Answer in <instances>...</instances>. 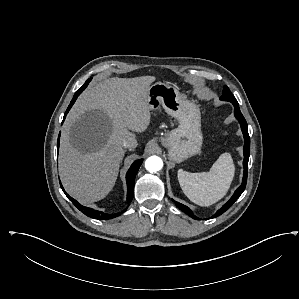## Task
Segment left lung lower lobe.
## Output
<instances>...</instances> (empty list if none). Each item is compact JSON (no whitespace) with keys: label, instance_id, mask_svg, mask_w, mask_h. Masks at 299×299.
<instances>
[{"label":"left lung lower lobe","instance_id":"left-lung-lower-lobe-1","mask_svg":"<svg viewBox=\"0 0 299 299\" xmlns=\"http://www.w3.org/2000/svg\"><path fill=\"white\" fill-rule=\"evenodd\" d=\"M231 103L235 107L234 114H235V117L237 118V120L240 122L241 129H242V132H243V135H244V141H245V144H244V161H243V167H244L243 180H242L241 186H239L238 189L234 192V194L230 198V200L221 209H219L211 218H215V217L221 215L229 207H231V205L243 193V191H244V189L246 187V183H247L248 160H249V155H250V137H249V134H248V125H247V122H246L245 118L243 117V115H242V113L240 111L238 102L237 101H233ZM175 204L179 207V209H181L183 212H185L186 214H188L193 219H197V220L199 219L185 205H183L181 203H178V202H175Z\"/></svg>","mask_w":299,"mask_h":299}]
</instances>
